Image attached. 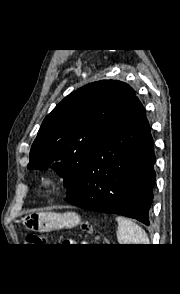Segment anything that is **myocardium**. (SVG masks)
<instances>
[{
    "instance_id": "obj_1",
    "label": "myocardium",
    "mask_w": 180,
    "mask_h": 294,
    "mask_svg": "<svg viewBox=\"0 0 180 294\" xmlns=\"http://www.w3.org/2000/svg\"><path fill=\"white\" fill-rule=\"evenodd\" d=\"M58 185V179L54 175L47 174L42 176L38 181V189L43 192H48L55 189Z\"/></svg>"
}]
</instances>
